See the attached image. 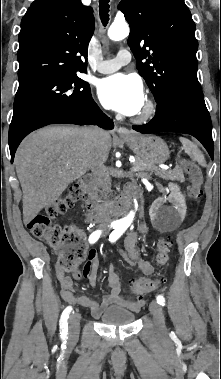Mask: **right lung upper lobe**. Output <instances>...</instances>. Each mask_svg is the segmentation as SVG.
Listing matches in <instances>:
<instances>
[{
	"label": "right lung upper lobe",
	"instance_id": "cb5924a9",
	"mask_svg": "<svg viewBox=\"0 0 221 379\" xmlns=\"http://www.w3.org/2000/svg\"><path fill=\"white\" fill-rule=\"evenodd\" d=\"M94 31L91 7L80 0H36L21 21L19 82L49 74L85 72Z\"/></svg>",
	"mask_w": 221,
	"mask_h": 379
}]
</instances>
